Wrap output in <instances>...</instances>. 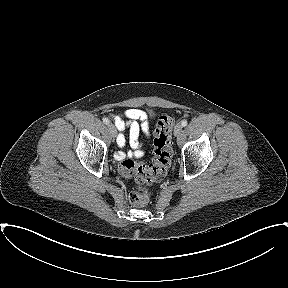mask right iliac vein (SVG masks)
Segmentation results:
<instances>
[{"instance_id": "63e3f726", "label": "right iliac vein", "mask_w": 288, "mask_h": 288, "mask_svg": "<svg viewBox=\"0 0 288 288\" xmlns=\"http://www.w3.org/2000/svg\"><path fill=\"white\" fill-rule=\"evenodd\" d=\"M108 127H109L112 137H116L117 131H116L115 126L113 124H109Z\"/></svg>"}]
</instances>
